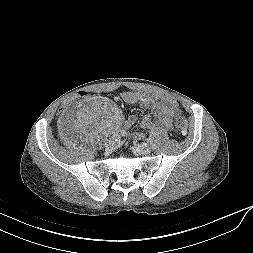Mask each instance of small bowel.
<instances>
[{
	"label": "small bowel",
	"mask_w": 253,
	"mask_h": 253,
	"mask_svg": "<svg viewBox=\"0 0 253 253\" xmlns=\"http://www.w3.org/2000/svg\"><path fill=\"white\" fill-rule=\"evenodd\" d=\"M122 99L127 104H138L142 108L151 109V114L144 115L140 123L141 128L147 131H153L160 127L171 129L174 118L180 113L178 101L171 97H158L149 93L124 92ZM136 121V116H130L124 122V128L132 127ZM141 136L140 132L135 133L136 138Z\"/></svg>",
	"instance_id": "small-bowel-1"
}]
</instances>
